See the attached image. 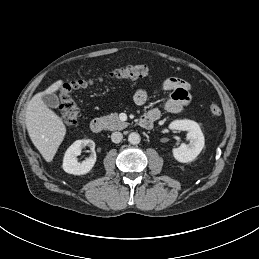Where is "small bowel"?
I'll return each mask as SVG.
<instances>
[{
  "label": "small bowel",
  "instance_id": "obj_1",
  "mask_svg": "<svg viewBox=\"0 0 259 259\" xmlns=\"http://www.w3.org/2000/svg\"><path fill=\"white\" fill-rule=\"evenodd\" d=\"M155 92L167 91L169 98L162 104L161 107L149 110L144 116H150L157 120L162 110L170 113H179L183 111L191 102L190 86L189 84L176 77L165 78L159 86L154 90ZM148 99V92L144 89H138L133 95L134 102L142 106Z\"/></svg>",
  "mask_w": 259,
  "mask_h": 259
}]
</instances>
